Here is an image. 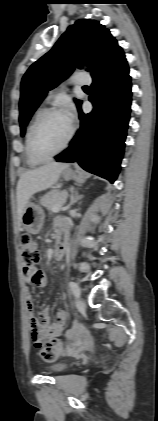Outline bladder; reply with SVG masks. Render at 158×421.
Segmentation results:
<instances>
[{
	"mask_svg": "<svg viewBox=\"0 0 158 421\" xmlns=\"http://www.w3.org/2000/svg\"><path fill=\"white\" fill-rule=\"evenodd\" d=\"M69 367V364L67 362H57L51 366L48 367V370L51 373L58 374L63 371H65Z\"/></svg>",
	"mask_w": 158,
	"mask_h": 421,
	"instance_id": "1",
	"label": "bladder"
}]
</instances>
